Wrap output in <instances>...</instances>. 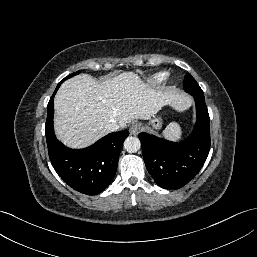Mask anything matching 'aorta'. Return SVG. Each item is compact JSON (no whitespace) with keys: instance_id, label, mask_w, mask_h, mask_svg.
Instances as JSON below:
<instances>
[{"instance_id":"aorta-1","label":"aorta","mask_w":257,"mask_h":257,"mask_svg":"<svg viewBox=\"0 0 257 257\" xmlns=\"http://www.w3.org/2000/svg\"><path fill=\"white\" fill-rule=\"evenodd\" d=\"M141 147L140 140L137 137H127L124 141V149L129 153L137 152Z\"/></svg>"}]
</instances>
